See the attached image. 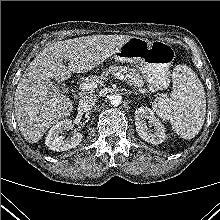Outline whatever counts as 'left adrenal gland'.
I'll return each instance as SVG.
<instances>
[{
	"label": "left adrenal gland",
	"mask_w": 220,
	"mask_h": 220,
	"mask_svg": "<svg viewBox=\"0 0 220 220\" xmlns=\"http://www.w3.org/2000/svg\"><path fill=\"white\" fill-rule=\"evenodd\" d=\"M131 93L137 94V92L134 90H132V91L128 90V94H131Z\"/></svg>",
	"instance_id": "a2214340"
}]
</instances>
